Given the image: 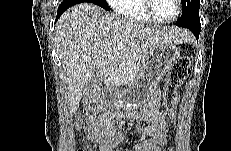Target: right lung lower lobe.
<instances>
[{
	"mask_svg": "<svg viewBox=\"0 0 231 151\" xmlns=\"http://www.w3.org/2000/svg\"><path fill=\"white\" fill-rule=\"evenodd\" d=\"M82 2L84 1L82 0H63V2L58 7L56 21L63 14V12H65L69 7L75 4H78V3H82Z\"/></svg>",
	"mask_w": 231,
	"mask_h": 151,
	"instance_id": "right-lung-lower-lobe-1",
	"label": "right lung lower lobe"
}]
</instances>
